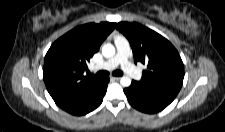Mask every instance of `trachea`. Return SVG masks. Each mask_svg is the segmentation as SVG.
<instances>
[{"label":"trachea","instance_id":"obj_1","mask_svg":"<svg viewBox=\"0 0 225 132\" xmlns=\"http://www.w3.org/2000/svg\"><path fill=\"white\" fill-rule=\"evenodd\" d=\"M112 74L114 76H122L123 75V72L120 71V70H116ZM108 75H109V73L107 71H99L98 73H96V76L97 77H106Z\"/></svg>","mask_w":225,"mask_h":132}]
</instances>
